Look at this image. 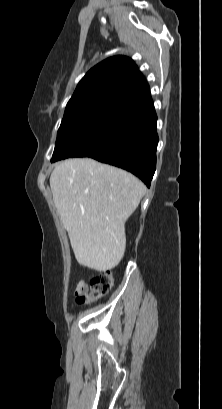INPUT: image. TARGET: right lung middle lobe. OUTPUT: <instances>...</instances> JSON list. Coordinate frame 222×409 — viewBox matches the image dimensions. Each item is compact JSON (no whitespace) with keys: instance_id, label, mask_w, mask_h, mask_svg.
<instances>
[{"instance_id":"dd1d6c3e","label":"right lung middle lobe","mask_w":222,"mask_h":409,"mask_svg":"<svg viewBox=\"0 0 222 409\" xmlns=\"http://www.w3.org/2000/svg\"><path fill=\"white\" fill-rule=\"evenodd\" d=\"M124 109L122 105L103 104L65 110L51 162L93 152Z\"/></svg>"}]
</instances>
